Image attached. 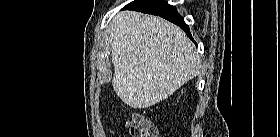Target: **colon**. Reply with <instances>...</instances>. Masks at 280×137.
<instances>
[{
  "label": "colon",
  "instance_id": "colon-1",
  "mask_svg": "<svg viewBox=\"0 0 280 137\" xmlns=\"http://www.w3.org/2000/svg\"><path fill=\"white\" fill-rule=\"evenodd\" d=\"M127 127L133 137H156L158 135L157 127L139 112L132 114L127 121Z\"/></svg>",
  "mask_w": 280,
  "mask_h": 137
}]
</instances>
